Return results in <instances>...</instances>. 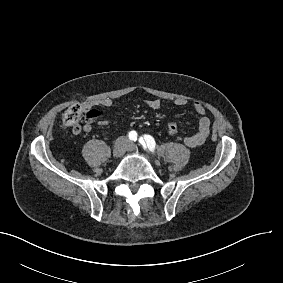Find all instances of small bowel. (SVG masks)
<instances>
[{
    "label": "small bowel",
    "instance_id": "1",
    "mask_svg": "<svg viewBox=\"0 0 283 283\" xmlns=\"http://www.w3.org/2000/svg\"><path fill=\"white\" fill-rule=\"evenodd\" d=\"M142 103L151 110H159L162 103L159 99H147ZM183 102H178V105H183ZM113 105V100L110 98H102L99 100H88L81 104V109L86 112L85 118L88 120L84 125L86 133L91 132V122L104 123L108 119V114L105 111H97L96 107L109 108ZM194 110L198 115V128L197 131L190 136L184 138V144L189 148H196L201 146L210 134L211 121L205 114V107L199 102L194 103ZM169 124V123H168Z\"/></svg>",
    "mask_w": 283,
    "mask_h": 283
}]
</instances>
